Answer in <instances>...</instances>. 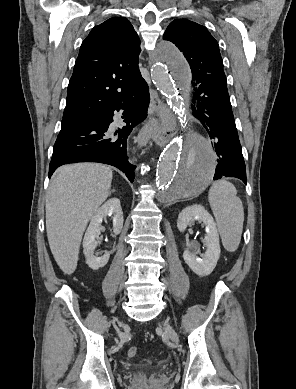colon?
Masks as SVG:
<instances>
[{
    "instance_id": "obj_1",
    "label": "colon",
    "mask_w": 296,
    "mask_h": 389,
    "mask_svg": "<svg viewBox=\"0 0 296 389\" xmlns=\"http://www.w3.org/2000/svg\"><path fill=\"white\" fill-rule=\"evenodd\" d=\"M136 354H137V348L136 347H130L128 349V356L129 357H134V356H136Z\"/></svg>"
}]
</instances>
